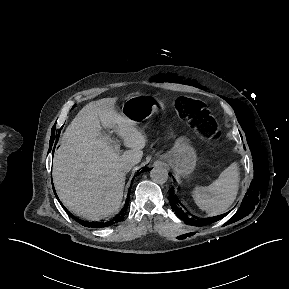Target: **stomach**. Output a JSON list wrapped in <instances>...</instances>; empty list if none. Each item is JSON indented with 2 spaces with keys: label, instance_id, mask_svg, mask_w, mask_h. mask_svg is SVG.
<instances>
[{
  "label": "stomach",
  "instance_id": "0dacf381",
  "mask_svg": "<svg viewBox=\"0 0 289 289\" xmlns=\"http://www.w3.org/2000/svg\"><path fill=\"white\" fill-rule=\"evenodd\" d=\"M164 104L159 100L147 95H135L129 97L122 105L121 113L136 123L148 119L159 109H163ZM168 161L180 175L190 174L197 162L196 151L190 141L182 136L175 140L169 152Z\"/></svg>",
  "mask_w": 289,
  "mask_h": 289
}]
</instances>
